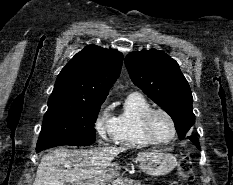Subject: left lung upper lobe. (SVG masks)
I'll list each match as a JSON object with an SVG mask.
<instances>
[{"mask_svg": "<svg viewBox=\"0 0 233 185\" xmlns=\"http://www.w3.org/2000/svg\"><path fill=\"white\" fill-rule=\"evenodd\" d=\"M130 78L173 119L180 139L195 123L192 94L179 65L157 50L132 52L125 58Z\"/></svg>", "mask_w": 233, "mask_h": 185, "instance_id": "5c2ea615", "label": "left lung upper lobe"}]
</instances>
